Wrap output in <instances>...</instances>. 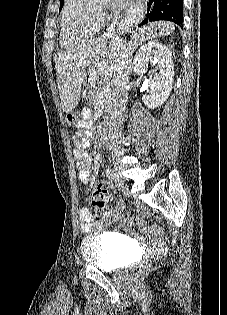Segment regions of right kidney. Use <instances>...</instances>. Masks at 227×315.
<instances>
[{"instance_id": "right-kidney-1", "label": "right kidney", "mask_w": 227, "mask_h": 315, "mask_svg": "<svg viewBox=\"0 0 227 315\" xmlns=\"http://www.w3.org/2000/svg\"><path fill=\"white\" fill-rule=\"evenodd\" d=\"M150 64L154 65L152 71L149 70ZM134 71L138 75L149 73L150 95L142 97L144 104L149 109L160 107L168 99L174 80V64L169 48L158 41L143 45L135 56Z\"/></svg>"}]
</instances>
